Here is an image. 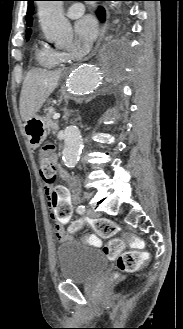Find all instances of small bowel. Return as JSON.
<instances>
[{"label": "small bowel", "instance_id": "small-bowel-1", "mask_svg": "<svg viewBox=\"0 0 183 329\" xmlns=\"http://www.w3.org/2000/svg\"><path fill=\"white\" fill-rule=\"evenodd\" d=\"M59 174L64 178L70 187H62L60 182L55 184V187H45V195L48 200V205L51 210L52 219L56 220L55 237L58 241L65 239V231L63 227H71L73 204L79 201V179L76 176L68 174L65 170L60 169ZM96 243H100L96 240Z\"/></svg>", "mask_w": 183, "mask_h": 329}]
</instances>
